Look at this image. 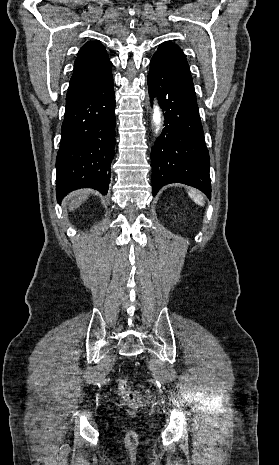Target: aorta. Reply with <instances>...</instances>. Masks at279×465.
Returning a JSON list of instances; mask_svg holds the SVG:
<instances>
[{
    "instance_id": "obj_1",
    "label": "aorta",
    "mask_w": 279,
    "mask_h": 465,
    "mask_svg": "<svg viewBox=\"0 0 279 465\" xmlns=\"http://www.w3.org/2000/svg\"><path fill=\"white\" fill-rule=\"evenodd\" d=\"M153 122L156 127L155 131L158 132V130L160 129V125H161V112H160V108L156 104H154L153 106Z\"/></svg>"
}]
</instances>
